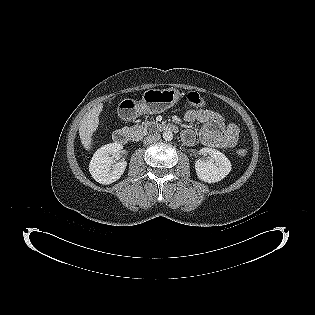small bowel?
<instances>
[{
    "label": "small bowel",
    "instance_id": "1",
    "mask_svg": "<svg viewBox=\"0 0 315 315\" xmlns=\"http://www.w3.org/2000/svg\"><path fill=\"white\" fill-rule=\"evenodd\" d=\"M186 122H198L202 124L197 133L192 129H186L182 134L185 144L193 145L200 140L206 146L215 148H233L239 141V130L237 126L228 122L219 112L194 108L188 110L184 116Z\"/></svg>",
    "mask_w": 315,
    "mask_h": 315
}]
</instances>
